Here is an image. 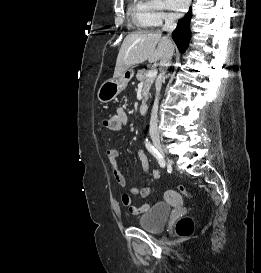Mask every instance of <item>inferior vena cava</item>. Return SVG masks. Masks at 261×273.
Returning <instances> with one entry per match:
<instances>
[{
	"mask_svg": "<svg viewBox=\"0 0 261 273\" xmlns=\"http://www.w3.org/2000/svg\"><path fill=\"white\" fill-rule=\"evenodd\" d=\"M176 28L175 17L173 15H167L165 18V24L163 26V31L171 33ZM172 53H169L164 60L160 62L161 73L158 77L156 83V98L154 102V106L152 109V115L150 120V135L151 137H159V130H158V102H159V95L162 86V82L164 81V75L166 73V69L171 65V58Z\"/></svg>",
	"mask_w": 261,
	"mask_h": 273,
	"instance_id": "602c4592",
	"label": "inferior vena cava"
}]
</instances>
